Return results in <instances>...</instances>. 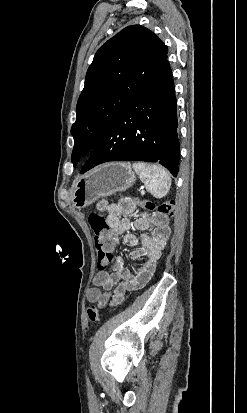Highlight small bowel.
<instances>
[{"label": "small bowel", "instance_id": "small-bowel-1", "mask_svg": "<svg viewBox=\"0 0 247 413\" xmlns=\"http://www.w3.org/2000/svg\"><path fill=\"white\" fill-rule=\"evenodd\" d=\"M96 209L98 212L107 213L108 236L112 244L117 242L120 235H123L124 244L129 247L141 244V249L131 254L132 260L136 263L134 272L126 267L122 257H117L112 272L106 269L99 271L93 280L94 287L87 292L86 297L90 303H95L99 307L116 306L123 302L126 291L142 289L152 279L157 260L166 247L171 230L168 218L160 224L154 223L153 216L143 215L134 218L132 203L121 201L116 204L101 200L96 204ZM131 227L143 231L140 237L129 232ZM147 230L149 232H146Z\"/></svg>", "mask_w": 247, "mask_h": 413}]
</instances>
